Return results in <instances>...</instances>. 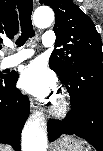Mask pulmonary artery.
I'll list each match as a JSON object with an SVG mask.
<instances>
[{
    "mask_svg": "<svg viewBox=\"0 0 103 151\" xmlns=\"http://www.w3.org/2000/svg\"><path fill=\"white\" fill-rule=\"evenodd\" d=\"M43 45L46 47H49L54 44L55 42V35L53 32L48 31L43 35L42 38ZM34 54V51L31 49H22L19 50L18 53L15 55L11 56L9 59V65L10 66H15L28 58H30Z\"/></svg>",
    "mask_w": 103,
    "mask_h": 151,
    "instance_id": "obj_1",
    "label": "pulmonary artery"
}]
</instances>
